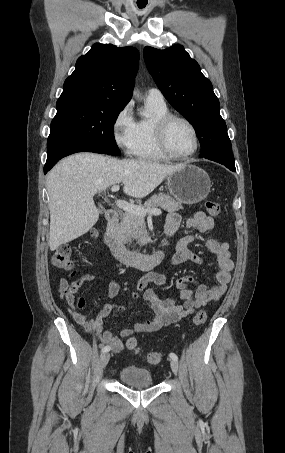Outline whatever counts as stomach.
I'll list each match as a JSON object with an SVG mask.
<instances>
[{
	"mask_svg": "<svg viewBox=\"0 0 285 453\" xmlns=\"http://www.w3.org/2000/svg\"><path fill=\"white\" fill-rule=\"evenodd\" d=\"M170 194L183 204H196L207 198L211 180L205 170L192 164H183L167 176Z\"/></svg>",
	"mask_w": 285,
	"mask_h": 453,
	"instance_id": "obj_1",
	"label": "stomach"
}]
</instances>
